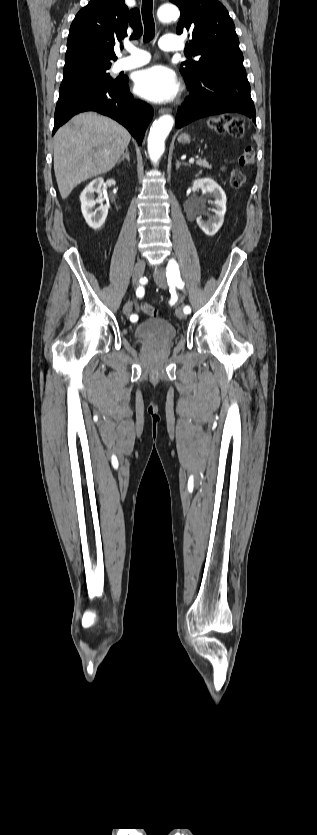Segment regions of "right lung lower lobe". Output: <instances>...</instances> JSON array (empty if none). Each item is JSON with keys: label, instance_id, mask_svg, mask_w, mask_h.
<instances>
[{"label": "right lung lower lobe", "instance_id": "right-lung-lower-lobe-1", "mask_svg": "<svg viewBox=\"0 0 317 835\" xmlns=\"http://www.w3.org/2000/svg\"><path fill=\"white\" fill-rule=\"evenodd\" d=\"M80 58L83 57L73 59ZM90 110L118 121L128 129L138 144L142 143L145 130L153 117L152 107L134 99L130 94L128 79L89 83L59 94L52 135L74 115Z\"/></svg>", "mask_w": 317, "mask_h": 835}]
</instances>
